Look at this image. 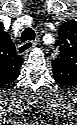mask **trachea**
<instances>
[{
    "label": "trachea",
    "mask_w": 77,
    "mask_h": 125,
    "mask_svg": "<svg viewBox=\"0 0 77 125\" xmlns=\"http://www.w3.org/2000/svg\"><path fill=\"white\" fill-rule=\"evenodd\" d=\"M21 41L25 42V41H32L35 39V32L32 28L28 27L26 28L22 34H21Z\"/></svg>",
    "instance_id": "3493384b"
}]
</instances>
